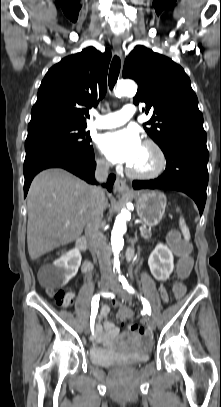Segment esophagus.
Masks as SVG:
<instances>
[{"label":"esophagus","instance_id":"34e87169","mask_svg":"<svg viewBox=\"0 0 221 407\" xmlns=\"http://www.w3.org/2000/svg\"><path fill=\"white\" fill-rule=\"evenodd\" d=\"M113 46H114L115 53L121 57L122 49H121V39L119 37L113 38ZM114 187L119 194L130 193V189H129L126 181L119 177L116 179Z\"/></svg>","mask_w":221,"mask_h":407}]
</instances>
